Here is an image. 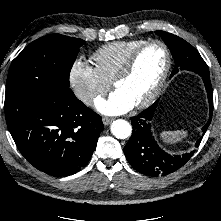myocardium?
<instances>
[{"label":"myocardium","mask_w":221,"mask_h":221,"mask_svg":"<svg viewBox=\"0 0 221 221\" xmlns=\"http://www.w3.org/2000/svg\"><path fill=\"white\" fill-rule=\"evenodd\" d=\"M155 44L161 46L165 52V57H166L165 67L163 69L161 77H160L156 87L154 88V90L144 100L135 104L136 108L148 107L153 102H155V100L160 96V94H161V92L167 82V79H168V76H169V73L171 70V66H172V56H171V52H170L168 45L165 42H163L162 40H158V39H152V40L145 41L143 44L138 46L128 56V58L126 59V61L123 64V66L121 67L119 72L115 75V77L112 80L113 86L115 88H117V84L120 81L126 79L132 73L134 66L136 64V61H137L139 55L143 52V50H145L147 47H149L151 45H155Z\"/></svg>","instance_id":"f54148a6"}]
</instances>
